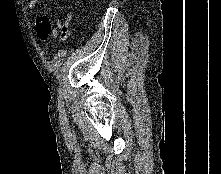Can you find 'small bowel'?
<instances>
[{
	"instance_id": "small-bowel-1",
	"label": "small bowel",
	"mask_w": 221,
	"mask_h": 174,
	"mask_svg": "<svg viewBox=\"0 0 221 174\" xmlns=\"http://www.w3.org/2000/svg\"><path fill=\"white\" fill-rule=\"evenodd\" d=\"M39 0H28V9L30 11H36ZM70 21L71 15L67 14L64 20L57 19L55 21L56 27L43 16L36 19L37 34L42 40H46L48 37L57 38L60 40H66L70 33Z\"/></svg>"
}]
</instances>
